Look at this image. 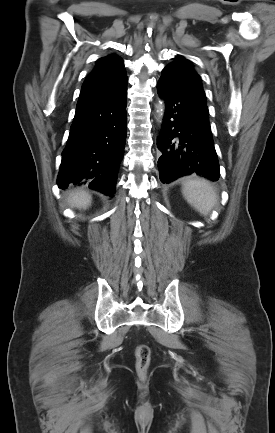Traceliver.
I'll return each instance as SVG.
<instances>
[{
	"mask_svg": "<svg viewBox=\"0 0 275 433\" xmlns=\"http://www.w3.org/2000/svg\"><path fill=\"white\" fill-rule=\"evenodd\" d=\"M91 201V196L84 190L72 192L68 198V203L71 205V207H76L79 209H86L91 205Z\"/></svg>",
	"mask_w": 275,
	"mask_h": 433,
	"instance_id": "1",
	"label": "liver"
}]
</instances>
